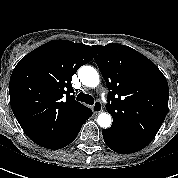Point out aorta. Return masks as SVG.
I'll use <instances>...</instances> for the list:
<instances>
[{
  "label": "aorta",
  "mask_w": 178,
  "mask_h": 178,
  "mask_svg": "<svg viewBox=\"0 0 178 178\" xmlns=\"http://www.w3.org/2000/svg\"><path fill=\"white\" fill-rule=\"evenodd\" d=\"M78 77L83 85L95 88L99 85L100 79L97 70L91 66H82L78 71ZM97 123L102 128H109L112 123V117L108 113H100Z\"/></svg>",
  "instance_id": "762f6f07"
}]
</instances>
